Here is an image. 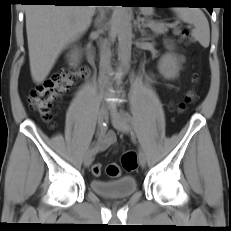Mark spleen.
<instances>
[{
  "label": "spleen",
  "instance_id": "1",
  "mask_svg": "<svg viewBox=\"0 0 231 231\" xmlns=\"http://www.w3.org/2000/svg\"><path fill=\"white\" fill-rule=\"evenodd\" d=\"M173 11L179 19L194 25L192 35L204 48H207L210 42V28L204 13L198 8L189 7H175Z\"/></svg>",
  "mask_w": 231,
  "mask_h": 231
}]
</instances>
